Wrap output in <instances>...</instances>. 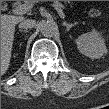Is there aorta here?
I'll use <instances>...</instances> for the list:
<instances>
[{"instance_id": "1", "label": "aorta", "mask_w": 109, "mask_h": 109, "mask_svg": "<svg viewBox=\"0 0 109 109\" xmlns=\"http://www.w3.org/2000/svg\"><path fill=\"white\" fill-rule=\"evenodd\" d=\"M40 31L45 37H53L58 31V26L54 22L44 21L40 25Z\"/></svg>"}]
</instances>
